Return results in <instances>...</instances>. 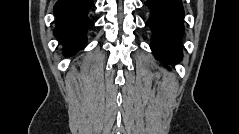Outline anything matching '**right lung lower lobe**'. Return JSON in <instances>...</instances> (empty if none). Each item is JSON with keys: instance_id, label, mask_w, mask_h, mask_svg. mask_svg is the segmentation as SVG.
I'll return each instance as SVG.
<instances>
[{"instance_id": "98d812e1", "label": "right lung lower lobe", "mask_w": 239, "mask_h": 134, "mask_svg": "<svg viewBox=\"0 0 239 134\" xmlns=\"http://www.w3.org/2000/svg\"><path fill=\"white\" fill-rule=\"evenodd\" d=\"M92 6V0H58L55 4L57 19L54 33L66 55H71L86 45V32L93 25L87 16Z\"/></svg>"}]
</instances>
